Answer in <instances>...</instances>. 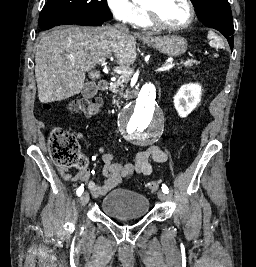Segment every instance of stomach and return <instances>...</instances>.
Masks as SVG:
<instances>
[{"instance_id": "obj_1", "label": "stomach", "mask_w": 256, "mask_h": 267, "mask_svg": "<svg viewBox=\"0 0 256 267\" xmlns=\"http://www.w3.org/2000/svg\"><path fill=\"white\" fill-rule=\"evenodd\" d=\"M148 44L156 50H160L162 54L167 56H181L187 50V42L182 36H174V34H165L158 38H148Z\"/></svg>"}]
</instances>
